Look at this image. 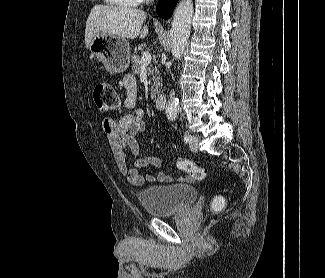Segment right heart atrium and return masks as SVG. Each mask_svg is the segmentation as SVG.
<instances>
[{
  "label": "right heart atrium",
  "mask_w": 325,
  "mask_h": 278,
  "mask_svg": "<svg viewBox=\"0 0 325 278\" xmlns=\"http://www.w3.org/2000/svg\"><path fill=\"white\" fill-rule=\"evenodd\" d=\"M147 1V0H140V2Z\"/></svg>",
  "instance_id": "1"
}]
</instances>
